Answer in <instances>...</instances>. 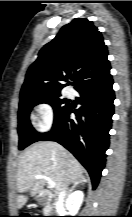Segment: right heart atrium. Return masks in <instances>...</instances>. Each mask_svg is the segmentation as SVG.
I'll return each instance as SVG.
<instances>
[{
    "instance_id": "right-heart-atrium-1",
    "label": "right heart atrium",
    "mask_w": 132,
    "mask_h": 217,
    "mask_svg": "<svg viewBox=\"0 0 132 217\" xmlns=\"http://www.w3.org/2000/svg\"><path fill=\"white\" fill-rule=\"evenodd\" d=\"M36 112V127L39 131H48L54 122V109L46 102L38 103L35 106Z\"/></svg>"
}]
</instances>
